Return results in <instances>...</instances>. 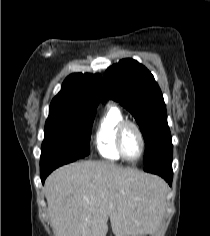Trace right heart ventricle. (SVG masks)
Instances as JSON below:
<instances>
[{
	"label": "right heart ventricle",
	"mask_w": 210,
	"mask_h": 236,
	"mask_svg": "<svg viewBox=\"0 0 210 236\" xmlns=\"http://www.w3.org/2000/svg\"><path fill=\"white\" fill-rule=\"evenodd\" d=\"M125 120L123 113L116 105H108L100 115L94 134V145L97 152L108 160L122 159L116 148V131Z\"/></svg>",
	"instance_id": "1"
}]
</instances>
